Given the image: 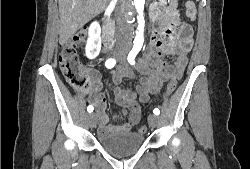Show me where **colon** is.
<instances>
[{
  "instance_id": "colon-1",
  "label": "colon",
  "mask_w": 250,
  "mask_h": 169,
  "mask_svg": "<svg viewBox=\"0 0 250 169\" xmlns=\"http://www.w3.org/2000/svg\"><path fill=\"white\" fill-rule=\"evenodd\" d=\"M187 12L192 14L195 12V7L192 3L187 4ZM183 34L188 32V26L182 27ZM88 38L87 32L75 34L72 38H66L62 42L59 52V65L63 76L69 86L76 92L82 95H88L91 92L89 77L77 55L78 45L85 44ZM178 81L175 79L167 82V87L164 89V97H171L173 90L178 86ZM134 99L137 97L134 96ZM146 127H140V132H145Z\"/></svg>"
}]
</instances>
